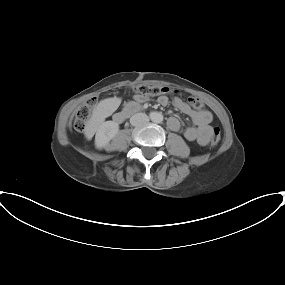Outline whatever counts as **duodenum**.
<instances>
[{
	"label": "duodenum",
	"instance_id": "1",
	"mask_svg": "<svg viewBox=\"0 0 285 285\" xmlns=\"http://www.w3.org/2000/svg\"><path fill=\"white\" fill-rule=\"evenodd\" d=\"M139 107L136 104H128L122 111L115 115L117 122H124L129 116L138 111Z\"/></svg>",
	"mask_w": 285,
	"mask_h": 285
}]
</instances>
